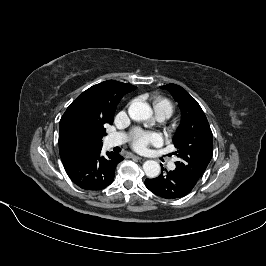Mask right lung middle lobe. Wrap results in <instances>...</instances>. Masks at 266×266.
<instances>
[{
    "label": "right lung middle lobe",
    "instance_id": "right-lung-middle-lobe-1",
    "mask_svg": "<svg viewBox=\"0 0 266 266\" xmlns=\"http://www.w3.org/2000/svg\"><path fill=\"white\" fill-rule=\"evenodd\" d=\"M105 128H104V124H101V126L99 127V132L102 136L106 135V132H105Z\"/></svg>",
    "mask_w": 266,
    "mask_h": 266
}]
</instances>
